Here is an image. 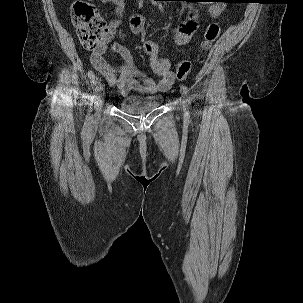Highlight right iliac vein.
<instances>
[{"mask_svg": "<svg viewBox=\"0 0 303 303\" xmlns=\"http://www.w3.org/2000/svg\"><path fill=\"white\" fill-rule=\"evenodd\" d=\"M103 101H104V93L100 92L95 100V109H96L95 118L96 119H98L100 116Z\"/></svg>", "mask_w": 303, "mask_h": 303, "instance_id": "right-iliac-vein-1", "label": "right iliac vein"}]
</instances>
